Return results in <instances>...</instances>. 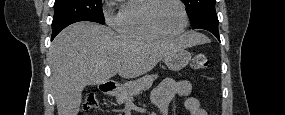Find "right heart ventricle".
<instances>
[{
	"label": "right heart ventricle",
	"instance_id": "e07e8e85",
	"mask_svg": "<svg viewBox=\"0 0 285 115\" xmlns=\"http://www.w3.org/2000/svg\"><path fill=\"white\" fill-rule=\"evenodd\" d=\"M153 0L126 1L115 18V26L127 36L156 39L162 35L154 31L147 21V12Z\"/></svg>",
	"mask_w": 285,
	"mask_h": 115
}]
</instances>
